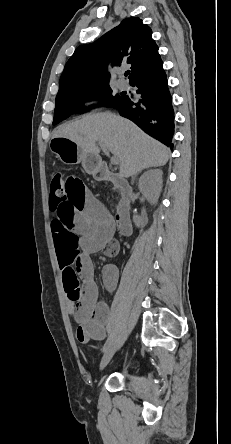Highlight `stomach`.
<instances>
[{"label":"stomach","instance_id":"stomach-1","mask_svg":"<svg viewBox=\"0 0 231 444\" xmlns=\"http://www.w3.org/2000/svg\"><path fill=\"white\" fill-rule=\"evenodd\" d=\"M50 148L63 163H82L83 168L89 174H96L102 166L99 156L85 152L68 138L53 137L50 142Z\"/></svg>","mask_w":231,"mask_h":444}]
</instances>
